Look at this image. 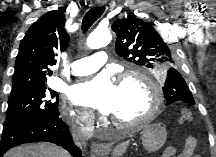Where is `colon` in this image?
Instances as JSON below:
<instances>
[{
  "instance_id": "5ec220e1",
  "label": "colon",
  "mask_w": 216,
  "mask_h": 157,
  "mask_svg": "<svg viewBox=\"0 0 216 157\" xmlns=\"http://www.w3.org/2000/svg\"><path fill=\"white\" fill-rule=\"evenodd\" d=\"M192 120V114L188 109H182L180 111L179 117H178V122L180 124H185L188 123Z\"/></svg>"
}]
</instances>
